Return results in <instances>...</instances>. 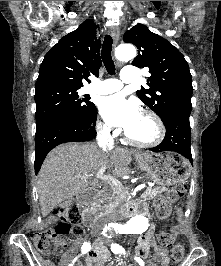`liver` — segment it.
Masks as SVG:
<instances>
[{"instance_id": "6515ba94", "label": "liver", "mask_w": 221, "mask_h": 266, "mask_svg": "<svg viewBox=\"0 0 221 266\" xmlns=\"http://www.w3.org/2000/svg\"><path fill=\"white\" fill-rule=\"evenodd\" d=\"M132 152L115 148L104 152L94 143H66L47 155L37 178V191L43 217L57 205L85 192L88 181L82 175H93L102 167L109 168L115 177L130 172Z\"/></svg>"}]
</instances>
